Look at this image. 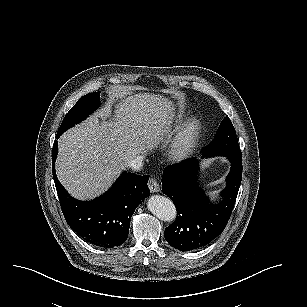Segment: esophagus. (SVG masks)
<instances>
[{"mask_svg": "<svg viewBox=\"0 0 307 307\" xmlns=\"http://www.w3.org/2000/svg\"><path fill=\"white\" fill-rule=\"evenodd\" d=\"M148 188L152 193H156L160 191V185L156 178H151L148 182Z\"/></svg>", "mask_w": 307, "mask_h": 307, "instance_id": "obj_1", "label": "esophagus"}]
</instances>
